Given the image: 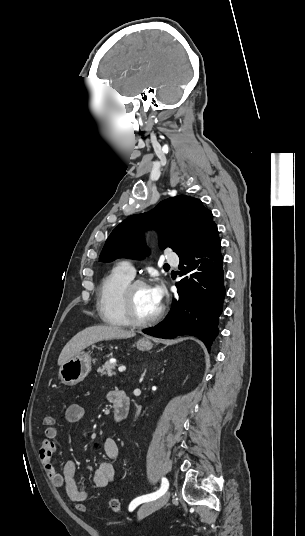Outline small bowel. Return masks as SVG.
<instances>
[{"mask_svg":"<svg viewBox=\"0 0 305 536\" xmlns=\"http://www.w3.org/2000/svg\"><path fill=\"white\" fill-rule=\"evenodd\" d=\"M114 391L108 393V400L112 402ZM86 415V409L81 404H73L69 406L65 412V418L72 424H79ZM58 430L54 426H49L45 429V438L39 446V457L43 468L49 477L52 485L56 488H64L68 498L79 495L82 500H86L88 492L79 487L75 478L77 471V462L74 460L67 461L61 472H59L53 462L57 453ZM100 449L110 460H116L119 456L117 443L112 438H105L100 443ZM116 470L111 461H102L93 475V482L97 487H106L115 479Z\"/></svg>","mask_w":305,"mask_h":536,"instance_id":"1","label":"small bowel"}]
</instances>
